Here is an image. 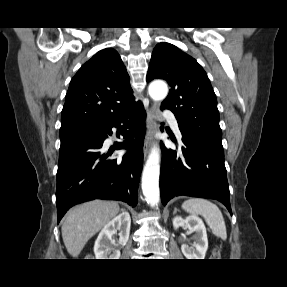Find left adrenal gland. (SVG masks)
<instances>
[{"label":"left adrenal gland","instance_id":"obj_1","mask_svg":"<svg viewBox=\"0 0 287 287\" xmlns=\"http://www.w3.org/2000/svg\"><path fill=\"white\" fill-rule=\"evenodd\" d=\"M177 211H178V209L175 207L174 211H173V214H175Z\"/></svg>","mask_w":287,"mask_h":287}]
</instances>
